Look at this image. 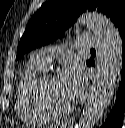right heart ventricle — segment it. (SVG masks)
<instances>
[{
	"label": "right heart ventricle",
	"mask_w": 125,
	"mask_h": 128,
	"mask_svg": "<svg viewBox=\"0 0 125 128\" xmlns=\"http://www.w3.org/2000/svg\"><path fill=\"white\" fill-rule=\"evenodd\" d=\"M44 69L30 60L18 79L15 108L18 116L27 123L44 124L50 120L38 107L33 94L34 84Z\"/></svg>",
	"instance_id": "e07e8e85"
}]
</instances>
